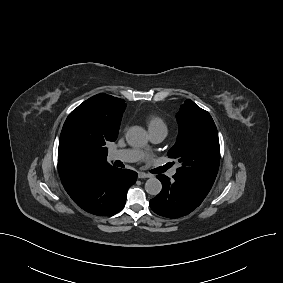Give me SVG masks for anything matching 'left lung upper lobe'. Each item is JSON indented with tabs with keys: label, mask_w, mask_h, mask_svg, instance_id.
Listing matches in <instances>:
<instances>
[{
	"label": "left lung upper lobe",
	"mask_w": 283,
	"mask_h": 283,
	"mask_svg": "<svg viewBox=\"0 0 283 283\" xmlns=\"http://www.w3.org/2000/svg\"><path fill=\"white\" fill-rule=\"evenodd\" d=\"M179 134L169 150V158L179 161L177 176L183 177L205 193H209L220 162V146L216 125L210 114L186 100L177 113Z\"/></svg>",
	"instance_id": "obj_1"
}]
</instances>
